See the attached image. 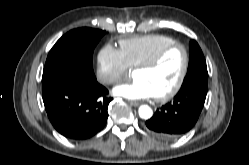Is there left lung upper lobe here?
I'll use <instances>...</instances> for the list:
<instances>
[{"label":"left lung upper lobe","instance_id":"left-lung-upper-lobe-1","mask_svg":"<svg viewBox=\"0 0 249 165\" xmlns=\"http://www.w3.org/2000/svg\"><path fill=\"white\" fill-rule=\"evenodd\" d=\"M193 81L208 82V72L204 55L195 40L190 42L189 67L182 86Z\"/></svg>","mask_w":249,"mask_h":165}]
</instances>
